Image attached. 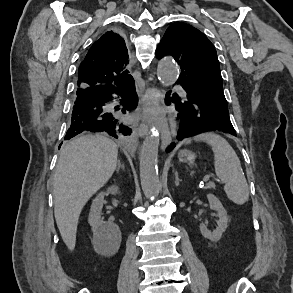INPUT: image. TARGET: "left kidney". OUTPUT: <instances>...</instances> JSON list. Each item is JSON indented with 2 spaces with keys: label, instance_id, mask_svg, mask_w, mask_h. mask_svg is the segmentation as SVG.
<instances>
[{
  "label": "left kidney",
  "instance_id": "obj_1",
  "mask_svg": "<svg viewBox=\"0 0 293 293\" xmlns=\"http://www.w3.org/2000/svg\"><path fill=\"white\" fill-rule=\"evenodd\" d=\"M207 199L209 201L210 209L217 212L219 220L217 221L216 229L213 231L209 230L204 223L200 224L199 229L204 238H207L212 242H217L220 240L222 234L226 231L229 218L222 203L214 194H208Z\"/></svg>",
  "mask_w": 293,
  "mask_h": 293
}]
</instances>
